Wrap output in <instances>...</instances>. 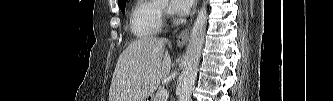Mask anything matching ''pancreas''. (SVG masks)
<instances>
[{
    "label": "pancreas",
    "instance_id": "pancreas-1",
    "mask_svg": "<svg viewBox=\"0 0 333 101\" xmlns=\"http://www.w3.org/2000/svg\"><path fill=\"white\" fill-rule=\"evenodd\" d=\"M154 101H161V98H160V91H158L154 97Z\"/></svg>",
    "mask_w": 333,
    "mask_h": 101
}]
</instances>
